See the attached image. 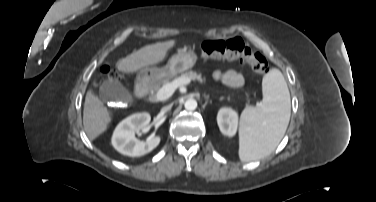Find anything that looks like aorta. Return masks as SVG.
Instances as JSON below:
<instances>
[{"label": "aorta", "instance_id": "aorta-1", "mask_svg": "<svg viewBox=\"0 0 376 202\" xmlns=\"http://www.w3.org/2000/svg\"><path fill=\"white\" fill-rule=\"evenodd\" d=\"M197 101L195 99H187L184 103V107L187 110H195L197 108Z\"/></svg>", "mask_w": 376, "mask_h": 202}]
</instances>
